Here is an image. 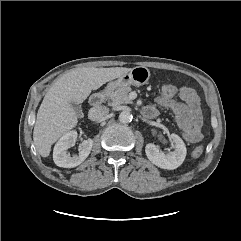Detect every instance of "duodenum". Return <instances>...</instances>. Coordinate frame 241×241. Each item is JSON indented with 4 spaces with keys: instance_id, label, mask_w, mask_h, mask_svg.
Wrapping results in <instances>:
<instances>
[{
    "instance_id": "410a0bca",
    "label": "duodenum",
    "mask_w": 241,
    "mask_h": 241,
    "mask_svg": "<svg viewBox=\"0 0 241 241\" xmlns=\"http://www.w3.org/2000/svg\"><path fill=\"white\" fill-rule=\"evenodd\" d=\"M108 92H109V87H106L102 91L94 93L90 98L91 105L94 107L101 105L103 103V101L105 100ZM144 113L148 117L154 116V114L151 111L144 110Z\"/></svg>"
}]
</instances>
